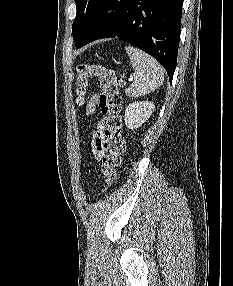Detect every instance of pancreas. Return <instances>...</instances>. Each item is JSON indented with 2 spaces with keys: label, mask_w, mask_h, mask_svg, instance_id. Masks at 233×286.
<instances>
[{
  "label": "pancreas",
  "mask_w": 233,
  "mask_h": 286,
  "mask_svg": "<svg viewBox=\"0 0 233 286\" xmlns=\"http://www.w3.org/2000/svg\"><path fill=\"white\" fill-rule=\"evenodd\" d=\"M125 84H126V83H125L122 79L119 80V86H120V87H123Z\"/></svg>",
  "instance_id": "1"
}]
</instances>
